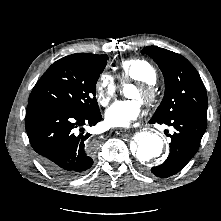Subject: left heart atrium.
<instances>
[{"label":"left heart atrium","instance_id":"39dd6f15","mask_svg":"<svg viewBox=\"0 0 221 221\" xmlns=\"http://www.w3.org/2000/svg\"><path fill=\"white\" fill-rule=\"evenodd\" d=\"M141 104L137 99L118 100L105 112V122L111 127L125 128L137 119Z\"/></svg>","mask_w":221,"mask_h":221}]
</instances>
